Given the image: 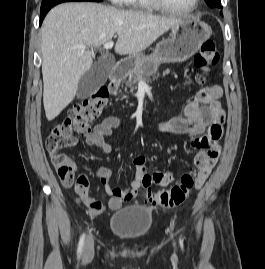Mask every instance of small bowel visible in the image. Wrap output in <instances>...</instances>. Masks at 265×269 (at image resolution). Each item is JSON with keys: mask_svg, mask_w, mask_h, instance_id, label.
I'll list each match as a JSON object with an SVG mask.
<instances>
[{"mask_svg": "<svg viewBox=\"0 0 265 269\" xmlns=\"http://www.w3.org/2000/svg\"><path fill=\"white\" fill-rule=\"evenodd\" d=\"M221 95L222 88L220 86L205 87L196 94L192 101L185 105L182 116L160 122L157 126L164 133L189 134L192 137V146L197 150L195 156V163L198 167L197 187L204 184L219 158L220 144L218 139H213L210 136L209 132L214 124H221L225 118V113L219 102ZM122 124V120L118 117L108 116L104 118L87 136V145L105 154H110L112 146L106 138L113 134L114 128ZM73 144H75V140ZM133 164L135 178L126 188H120L112 183V172L108 167L102 166L96 169L95 175L110 197L106 204L89 195L87 176L84 174L78 176L75 184L77 201L86 208L88 214L98 216L107 211H116L122 203L135 199L140 188L149 187L153 183L161 186L168 185L173 179L172 173L163 172L157 168L148 172L144 156L134 157Z\"/></svg>", "mask_w": 265, "mask_h": 269, "instance_id": "small-bowel-1", "label": "small bowel"}]
</instances>
